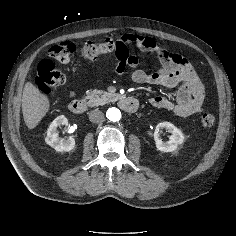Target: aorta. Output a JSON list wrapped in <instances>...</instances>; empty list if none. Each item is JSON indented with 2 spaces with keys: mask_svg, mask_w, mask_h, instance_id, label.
I'll use <instances>...</instances> for the list:
<instances>
[{
  "mask_svg": "<svg viewBox=\"0 0 236 236\" xmlns=\"http://www.w3.org/2000/svg\"><path fill=\"white\" fill-rule=\"evenodd\" d=\"M121 117V112L119 109L117 108H110L108 109L107 111V118L110 120V121H113V122H116L120 119Z\"/></svg>",
  "mask_w": 236,
  "mask_h": 236,
  "instance_id": "762f6f07",
  "label": "aorta"
}]
</instances>
